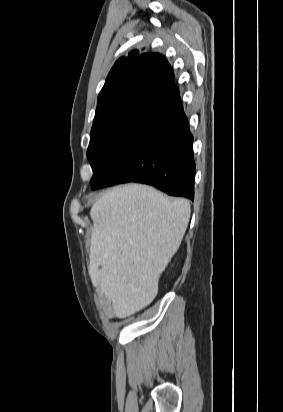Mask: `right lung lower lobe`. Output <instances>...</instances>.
I'll return each instance as SVG.
<instances>
[{
	"instance_id": "obj_1",
	"label": "right lung lower lobe",
	"mask_w": 283,
	"mask_h": 412,
	"mask_svg": "<svg viewBox=\"0 0 283 412\" xmlns=\"http://www.w3.org/2000/svg\"><path fill=\"white\" fill-rule=\"evenodd\" d=\"M168 70L165 65V80ZM192 144L193 136L179 97L91 188L139 182L193 200L196 168Z\"/></svg>"
}]
</instances>
